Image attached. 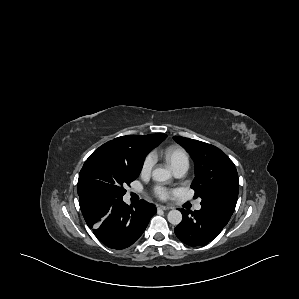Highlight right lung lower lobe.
Segmentation results:
<instances>
[{"label":"right lung lower lobe","instance_id":"right-lung-lower-lobe-1","mask_svg":"<svg viewBox=\"0 0 299 299\" xmlns=\"http://www.w3.org/2000/svg\"><path fill=\"white\" fill-rule=\"evenodd\" d=\"M84 219L106 246L120 250L131 246L156 213L154 205L141 200L128 206L121 198L84 193L79 196Z\"/></svg>","mask_w":299,"mask_h":299}]
</instances>
